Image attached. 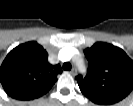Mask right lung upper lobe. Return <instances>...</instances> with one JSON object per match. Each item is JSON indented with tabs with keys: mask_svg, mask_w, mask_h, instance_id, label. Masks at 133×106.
Instances as JSON below:
<instances>
[{
	"mask_svg": "<svg viewBox=\"0 0 133 106\" xmlns=\"http://www.w3.org/2000/svg\"><path fill=\"white\" fill-rule=\"evenodd\" d=\"M48 53L36 42L14 48L0 67V82L5 92L18 100H31L47 93L62 73L60 65H51Z\"/></svg>",
	"mask_w": 133,
	"mask_h": 106,
	"instance_id": "right-lung-upper-lobe-1",
	"label": "right lung upper lobe"
}]
</instances>
